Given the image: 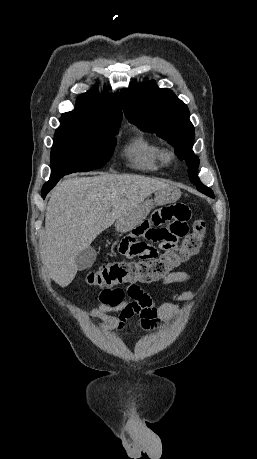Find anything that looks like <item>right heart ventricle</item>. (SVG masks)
<instances>
[{
    "instance_id": "obj_1",
    "label": "right heart ventricle",
    "mask_w": 257,
    "mask_h": 459,
    "mask_svg": "<svg viewBox=\"0 0 257 459\" xmlns=\"http://www.w3.org/2000/svg\"><path fill=\"white\" fill-rule=\"evenodd\" d=\"M124 155L133 168L142 171H157L166 163L163 148L143 134L137 135L127 144Z\"/></svg>"
}]
</instances>
